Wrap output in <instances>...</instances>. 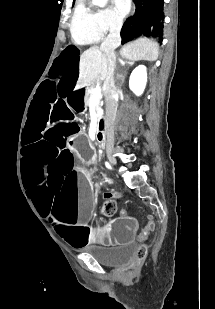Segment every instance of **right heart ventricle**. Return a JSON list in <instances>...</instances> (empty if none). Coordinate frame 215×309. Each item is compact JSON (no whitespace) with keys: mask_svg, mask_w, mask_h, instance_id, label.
<instances>
[{"mask_svg":"<svg viewBox=\"0 0 215 309\" xmlns=\"http://www.w3.org/2000/svg\"><path fill=\"white\" fill-rule=\"evenodd\" d=\"M98 21L94 19V14H75V19L71 20V39L76 45H83L87 42H99L103 27H97ZM116 44V43H109Z\"/></svg>","mask_w":215,"mask_h":309,"instance_id":"obj_1","label":"right heart ventricle"}]
</instances>
